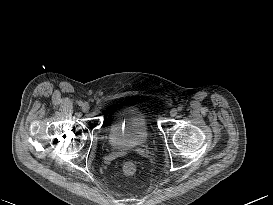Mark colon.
Returning a JSON list of instances; mask_svg holds the SVG:
<instances>
[{
  "label": "colon",
  "instance_id": "colon-1",
  "mask_svg": "<svg viewBox=\"0 0 273 205\" xmlns=\"http://www.w3.org/2000/svg\"><path fill=\"white\" fill-rule=\"evenodd\" d=\"M123 172L127 176H132L136 172V165L135 163L128 161L123 165Z\"/></svg>",
  "mask_w": 273,
  "mask_h": 205
}]
</instances>
